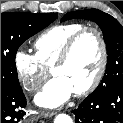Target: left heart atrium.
I'll list each match as a JSON object with an SVG mask.
<instances>
[{"mask_svg": "<svg viewBox=\"0 0 123 123\" xmlns=\"http://www.w3.org/2000/svg\"><path fill=\"white\" fill-rule=\"evenodd\" d=\"M73 92L64 78L55 77L36 95L35 102L42 107L55 108L65 103Z\"/></svg>", "mask_w": 123, "mask_h": 123, "instance_id": "obj_1", "label": "left heart atrium"}]
</instances>
